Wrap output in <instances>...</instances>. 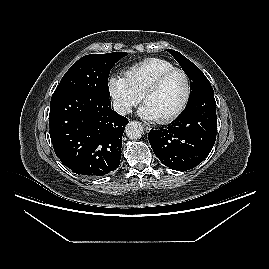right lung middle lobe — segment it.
<instances>
[{"label":"right lung middle lobe","instance_id":"1","mask_svg":"<svg viewBox=\"0 0 269 269\" xmlns=\"http://www.w3.org/2000/svg\"><path fill=\"white\" fill-rule=\"evenodd\" d=\"M125 52L90 54L80 58L61 79L54 93L80 90L109 97L108 76Z\"/></svg>","mask_w":269,"mask_h":269}]
</instances>
